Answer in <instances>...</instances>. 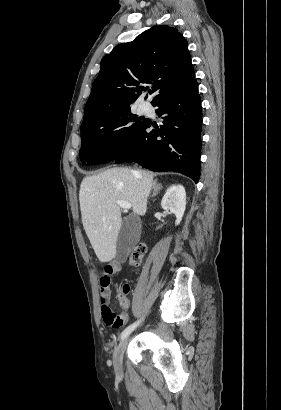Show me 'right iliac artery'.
Here are the masks:
<instances>
[{"label": "right iliac artery", "instance_id": "82829eb1", "mask_svg": "<svg viewBox=\"0 0 281 410\" xmlns=\"http://www.w3.org/2000/svg\"><path fill=\"white\" fill-rule=\"evenodd\" d=\"M139 324L138 322H135L131 325H129L122 333H121V339L123 340L124 338H126L134 329L135 327Z\"/></svg>", "mask_w": 281, "mask_h": 410}]
</instances>
